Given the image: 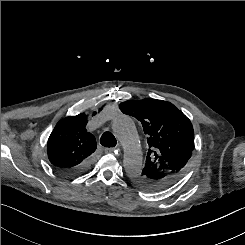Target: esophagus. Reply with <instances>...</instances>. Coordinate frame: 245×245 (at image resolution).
<instances>
[{"mask_svg": "<svg viewBox=\"0 0 245 245\" xmlns=\"http://www.w3.org/2000/svg\"><path fill=\"white\" fill-rule=\"evenodd\" d=\"M105 153H113L115 151L114 148H105L104 149Z\"/></svg>", "mask_w": 245, "mask_h": 245, "instance_id": "obj_1", "label": "esophagus"}]
</instances>
